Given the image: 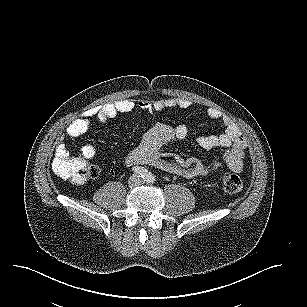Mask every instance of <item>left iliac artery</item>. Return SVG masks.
<instances>
[{"instance_id": "obj_1", "label": "left iliac artery", "mask_w": 307, "mask_h": 307, "mask_svg": "<svg viewBox=\"0 0 307 307\" xmlns=\"http://www.w3.org/2000/svg\"><path fill=\"white\" fill-rule=\"evenodd\" d=\"M152 179H153V178L150 176V177L147 178L146 181L149 182V181H151Z\"/></svg>"}]
</instances>
